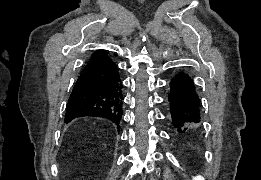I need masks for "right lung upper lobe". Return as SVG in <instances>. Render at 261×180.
Instances as JSON below:
<instances>
[{"label":"right lung upper lobe","instance_id":"right-lung-upper-lobe-1","mask_svg":"<svg viewBox=\"0 0 261 180\" xmlns=\"http://www.w3.org/2000/svg\"><path fill=\"white\" fill-rule=\"evenodd\" d=\"M110 57L107 55V52L104 50H99L94 52L89 61L87 62V64L85 65L84 69L88 68V67H92L94 65H98V64H102L105 62L110 61Z\"/></svg>","mask_w":261,"mask_h":180}]
</instances>
